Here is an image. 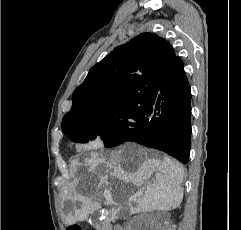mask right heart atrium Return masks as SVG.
<instances>
[{"label":"right heart atrium","instance_id":"right-heart-atrium-1","mask_svg":"<svg viewBox=\"0 0 241 230\" xmlns=\"http://www.w3.org/2000/svg\"><path fill=\"white\" fill-rule=\"evenodd\" d=\"M104 146V138L102 135H97L85 143L88 149H99Z\"/></svg>","mask_w":241,"mask_h":230}]
</instances>
